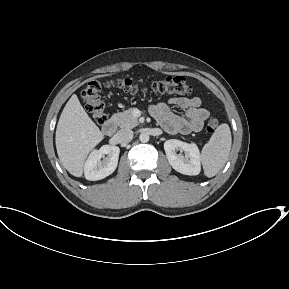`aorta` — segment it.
Instances as JSON below:
<instances>
[{
	"mask_svg": "<svg viewBox=\"0 0 289 289\" xmlns=\"http://www.w3.org/2000/svg\"><path fill=\"white\" fill-rule=\"evenodd\" d=\"M149 134L147 133H141L140 136H139V139L142 143H146L149 141Z\"/></svg>",
	"mask_w": 289,
	"mask_h": 289,
	"instance_id": "obj_1",
	"label": "aorta"
}]
</instances>
